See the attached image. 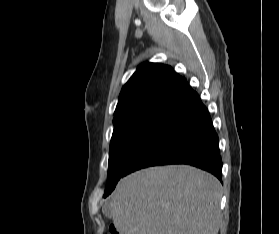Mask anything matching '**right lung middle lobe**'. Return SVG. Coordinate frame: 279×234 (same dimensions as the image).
<instances>
[{
    "mask_svg": "<svg viewBox=\"0 0 279 234\" xmlns=\"http://www.w3.org/2000/svg\"><path fill=\"white\" fill-rule=\"evenodd\" d=\"M170 108L165 106L147 107L114 118L104 197L114 190L119 179L125 175V168L136 150Z\"/></svg>",
    "mask_w": 279,
    "mask_h": 234,
    "instance_id": "obj_1",
    "label": "right lung middle lobe"
}]
</instances>
